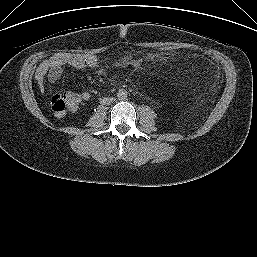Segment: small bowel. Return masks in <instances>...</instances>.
I'll return each mask as SVG.
<instances>
[{"label": "small bowel", "mask_w": 257, "mask_h": 257, "mask_svg": "<svg viewBox=\"0 0 257 257\" xmlns=\"http://www.w3.org/2000/svg\"><path fill=\"white\" fill-rule=\"evenodd\" d=\"M98 65V58L93 54L65 55L55 54L44 60L37 68L35 79L41 91L45 90V79L51 85H55L60 79L65 67L78 70L95 68ZM83 98H89L88 92L82 93Z\"/></svg>", "instance_id": "c3829d8e"}]
</instances>
